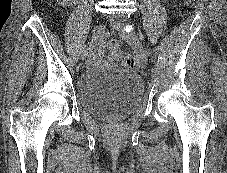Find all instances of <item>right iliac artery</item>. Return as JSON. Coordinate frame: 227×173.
I'll list each match as a JSON object with an SVG mask.
<instances>
[{"instance_id": "1", "label": "right iliac artery", "mask_w": 227, "mask_h": 173, "mask_svg": "<svg viewBox=\"0 0 227 173\" xmlns=\"http://www.w3.org/2000/svg\"><path fill=\"white\" fill-rule=\"evenodd\" d=\"M100 46H101V47H104V46H105V43H100ZM87 50H88V47L85 46V47H84V50H83V54H86Z\"/></svg>"}]
</instances>
